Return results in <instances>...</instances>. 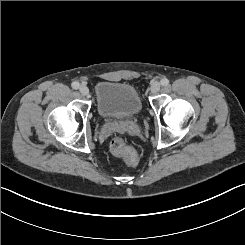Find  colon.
I'll return each instance as SVG.
<instances>
[{
	"label": "colon",
	"instance_id": "5ec220e1",
	"mask_svg": "<svg viewBox=\"0 0 245 245\" xmlns=\"http://www.w3.org/2000/svg\"><path fill=\"white\" fill-rule=\"evenodd\" d=\"M110 150L113 154L123 156L130 165L135 164L136 155L134 150L126 144L123 138L115 137L110 143Z\"/></svg>",
	"mask_w": 245,
	"mask_h": 245
}]
</instances>
